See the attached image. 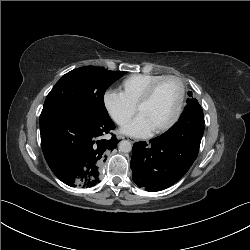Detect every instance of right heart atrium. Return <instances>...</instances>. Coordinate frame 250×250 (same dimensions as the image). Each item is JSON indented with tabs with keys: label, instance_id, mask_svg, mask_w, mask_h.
Instances as JSON below:
<instances>
[{
	"label": "right heart atrium",
	"instance_id": "obj_1",
	"mask_svg": "<svg viewBox=\"0 0 250 250\" xmlns=\"http://www.w3.org/2000/svg\"><path fill=\"white\" fill-rule=\"evenodd\" d=\"M103 105L110 118L120 126L126 124L135 113V106L115 89L105 91Z\"/></svg>",
	"mask_w": 250,
	"mask_h": 250
}]
</instances>
